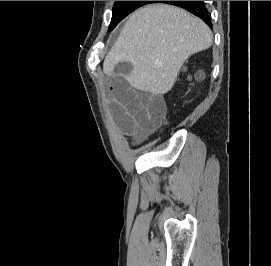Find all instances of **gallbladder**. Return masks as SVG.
Returning <instances> with one entry per match:
<instances>
[{"instance_id":"gallbladder-1","label":"gallbladder","mask_w":271,"mask_h":266,"mask_svg":"<svg viewBox=\"0 0 271 266\" xmlns=\"http://www.w3.org/2000/svg\"><path fill=\"white\" fill-rule=\"evenodd\" d=\"M117 74H128L132 70V65L128 62H120L116 65Z\"/></svg>"}]
</instances>
